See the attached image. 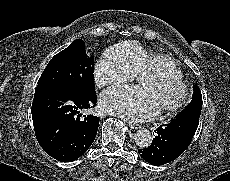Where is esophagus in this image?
<instances>
[{"mask_svg": "<svg viewBox=\"0 0 230 181\" xmlns=\"http://www.w3.org/2000/svg\"><path fill=\"white\" fill-rule=\"evenodd\" d=\"M129 126L132 129H140L141 128L140 124H135V123H129Z\"/></svg>", "mask_w": 230, "mask_h": 181, "instance_id": "esophagus-1", "label": "esophagus"}]
</instances>
